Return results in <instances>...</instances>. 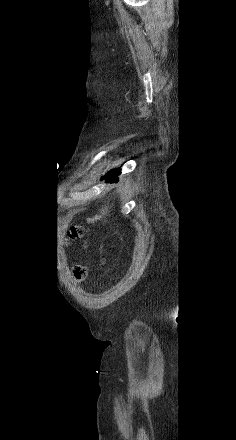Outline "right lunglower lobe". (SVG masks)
I'll use <instances>...</instances> for the list:
<instances>
[{
  "label": "right lung lower lobe",
  "mask_w": 236,
  "mask_h": 440,
  "mask_svg": "<svg viewBox=\"0 0 236 440\" xmlns=\"http://www.w3.org/2000/svg\"><path fill=\"white\" fill-rule=\"evenodd\" d=\"M119 174H120V170H118V169L111 170L110 172H108L105 175V179L107 181H116L117 180V175H119Z\"/></svg>",
  "instance_id": "right-lung-lower-lobe-1"
}]
</instances>
